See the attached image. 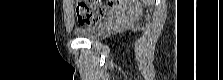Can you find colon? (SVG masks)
<instances>
[{"mask_svg":"<svg viewBox=\"0 0 223 80\" xmlns=\"http://www.w3.org/2000/svg\"><path fill=\"white\" fill-rule=\"evenodd\" d=\"M120 3V0H112L108 5L101 6L98 10H93L89 2L77 1L75 5L76 17L80 24L97 25L109 15L113 7Z\"/></svg>","mask_w":223,"mask_h":80,"instance_id":"obj_1","label":"colon"}]
</instances>
